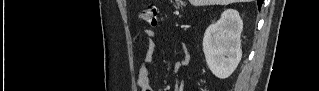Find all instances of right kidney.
<instances>
[{
    "label": "right kidney",
    "instance_id": "1",
    "mask_svg": "<svg viewBox=\"0 0 319 91\" xmlns=\"http://www.w3.org/2000/svg\"><path fill=\"white\" fill-rule=\"evenodd\" d=\"M242 27L239 13L227 9L220 19L205 31L203 51L206 62L211 72L220 79L229 77L241 60Z\"/></svg>",
    "mask_w": 319,
    "mask_h": 91
}]
</instances>
